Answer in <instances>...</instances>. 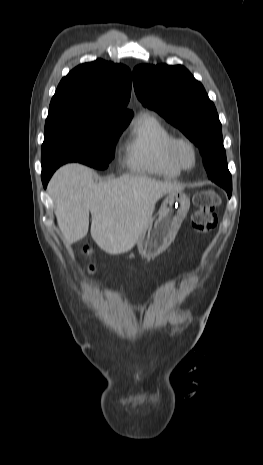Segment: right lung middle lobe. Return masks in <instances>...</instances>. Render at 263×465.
<instances>
[{
  "instance_id": "1",
  "label": "right lung middle lobe",
  "mask_w": 263,
  "mask_h": 465,
  "mask_svg": "<svg viewBox=\"0 0 263 465\" xmlns=\"http://www.w3.org/2000/svg\"><path fill=\"white\" fill-rule=\"evenodd\" d=\"M132 116L80 107L49 108L42 144V169L55 171L77 161L107 168L116 142Z\"/></svg>"
}]
</instances>
